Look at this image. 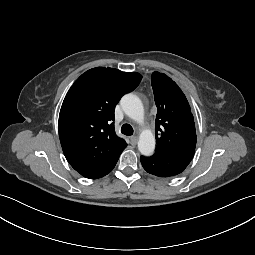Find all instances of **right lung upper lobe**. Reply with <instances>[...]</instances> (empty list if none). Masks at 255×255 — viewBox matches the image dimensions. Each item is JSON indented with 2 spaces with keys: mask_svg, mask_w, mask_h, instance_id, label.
<instances>
[{
  "mask_svg": "<svg viewBox=\"0 0 255 255\" xmlns=\"http://www.w3.org/2000/svg\"><path fill=\"white\" fill-rule=\"evenodd\" d=\"M141 79L136 72L97 67L82 74L66 94L59 138L67 161L82 176L97 179L116 165L127 143L115 133L114 109Z\"/></svg>",
  "mask_w": 255,
  "mask_h": 255,
  "instance_id": "right-lung-upper-lobe-1",
  "label": "right lung upper lobe"
}]
</instances>
